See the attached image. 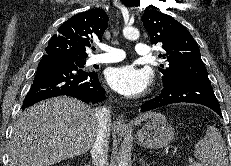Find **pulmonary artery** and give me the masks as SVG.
<instances>
[{"instance_id": "pulmonary-artery-1", "label": "pulmonary artery", "mask_w": 231, "mask_h": 166, "mask_svg": "<svg viewBox=\"0 0 231 166\" xmlns=\"http://www.w3.org/2000/svg\"><path fill=\"white\" fill-rule=\"evenodd\" d=\"M101 49L104 53L92 56L91 64L114 63L123 60L126 56L123 50L110 45H103ZM135 51L140 56H148L151 53V48L144 43H137Z\"/></svg>"}]
</instances>
